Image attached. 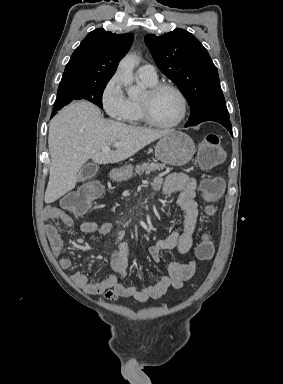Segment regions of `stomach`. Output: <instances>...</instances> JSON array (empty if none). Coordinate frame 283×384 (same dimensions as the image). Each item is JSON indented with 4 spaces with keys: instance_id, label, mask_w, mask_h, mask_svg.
I'll use <instances>...</instances> for the list:
<instances>
[{
    "instance_id": "stomach-1",
    "label": "stomach",
    "mask_w": 283,
    "mask_h": 384,
    "mask_svg": "<svg viewBox=\"0 0 283 384\" xmlns=\"http://www.w3.org/2000/svg\"><path fill=\"white\" fill-rule=\"evenodd\" d=\"M194 154L195 144L192 138L183 132H171L163 136L155 148L156 158L170 166H185L192 160ZM116 174L117 180H128L131 178L132 166H124Z\"/></svg>"
}]
</instances>
